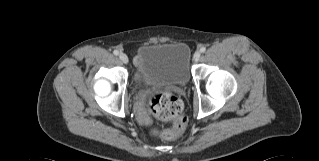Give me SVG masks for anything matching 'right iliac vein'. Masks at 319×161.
I'll list each match as a JSON object with an SVG mask.
<instances>
[{"mask_svg": "<svg viewBox=\"0 0 319 161\" xmlns=\"http://www.w3.org/2000/svg\"><path fill=\"white\" fill-rule=\"evenodd\" d=\"M119 59H120L121 62L124 63V64H127L128 61H129L127 55L124 54V53H121V54L119 55Z\"/></svg>", "mask_w": 319, "mask_h": 161, "instance_id": "obj_1", "label": "right iliac vein"}]
</instances>
